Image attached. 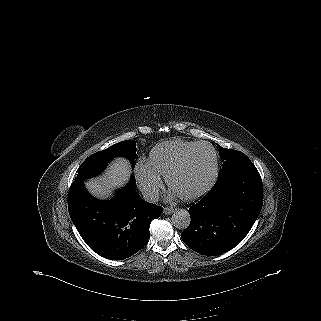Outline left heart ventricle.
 <instances>
[{"label":"left heart ventricle","mask_w":321,"mask_h":321,"mask_svg":"<svg viewBox=\"0 0 321 321\" xmlns=\"http://www.w3.org/2000/svg\"><path fill=\"white\" fill-rule=\"evenodd\" d=\"M214 156L207 147L198 148L190 157L186 167L178 172L171 182V191L179 196L196 193L211 179Z\"/></svg>","instance_id":"1"}]
</instances>
